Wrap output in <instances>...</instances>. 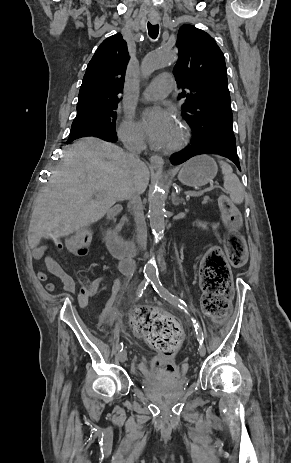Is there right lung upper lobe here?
<instances>
[{
	"instance_id": "obj_1",
	"label": "right lung upper lobe",
	"mask_w": 291,
	"mask_h": 463,
	"mask_svg": "<svg viewBox=\"0 0 291 463\" xmlns=\"http://www.w3.org/2000/svg\"><path fill=\"white\" fill-rule=\"evenodd\" d=\"M130 59L120 33L105 39L89 62L79 91L77 116L118 104ZM76 116V117H77Z\"/></svg>"
}]
</instances>
